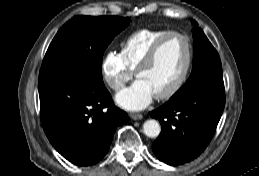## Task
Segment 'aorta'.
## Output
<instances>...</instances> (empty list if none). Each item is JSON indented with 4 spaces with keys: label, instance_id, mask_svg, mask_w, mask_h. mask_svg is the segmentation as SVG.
Listing matches in <instances>:
<instances>
[{
    "label": "aorta",
    "instance_id": "obj_1",
    "mask_svg": "<svg viewBox=\"0 0 259 176\" xmlns=\"http://www.w3.org/2000/svg\"><path fill=\"white\" fill-rule=\"evenodd\" d=\"M143 132L146 136L155 138L159 136L161 132V126L156 120L150 119L144 122Z\"/></svg>",
    "mask_w": 259,
    "mask_h": 176
}]
</instances>
